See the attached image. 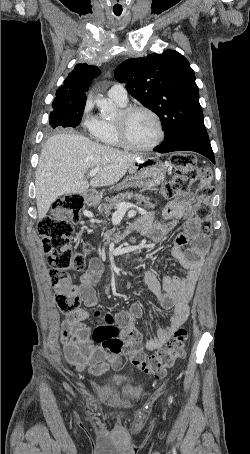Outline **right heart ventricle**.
<instances>
[{"instance_id":"obj_1","label":"right heart ventricle","mask_w":250,"mask_h":454,"mask_svg":"<svg viewBox=\"0 0 250 454\" xmlns=\"http://www.w3.org/2000/svg\"><path fill=\"white\" fill-rule=\"evenodd\" d=\"M113 101L120 108L126 105L115 100ZM114 120L115 119H109L103 116L96 117V127L91 131V134L96 141L104 145L121 146Z\"/></svg>"}]
</instances>
